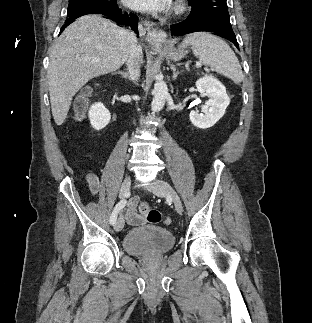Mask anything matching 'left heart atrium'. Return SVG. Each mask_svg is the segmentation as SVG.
Segmentation results:
<instances>
[{"label":"left heart atrium","mask_w":312,"mask_h":323,"mask_svg":"<svg viewBox=\"0 0 312 323\" xmlns=\"http://www.w3.org/2000/svg\"><path fill=\"white\" fill-rule=\"evenodd\" d=\"M125 3L136 12H169L173 8L171 0H125Z\"/></svg>","instance_id":"39dd6f15"}]
</instances>
